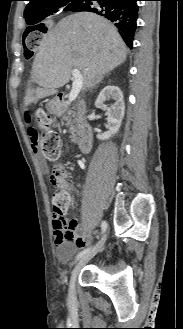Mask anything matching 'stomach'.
Segmentation results:
<instances>
[{"label": "stomach", "mask_w": 183, "mask_h": 329, "mask_svg": "<svg viewBox=\"0 0 183 329\" xmlns=\"http://www.w3.org/2000/svg\"><path fill=\"white\" fill-rule=\"evenodd\" d=\"M46 108L49 113L56 114L61 110V105L58 99H53L50 102H48Z\"/></svg>", "instance_id": "obj_1"}]
</instances>
